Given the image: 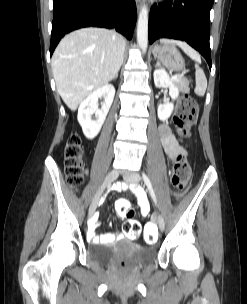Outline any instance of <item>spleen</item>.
<instances>
[{
    "instance_id": "1",
    "label": "spleen",
    "mask_w": 247,
    "mask_h": 304,
    "mask_svg": "<svg viewBox=\"0 0 247 304\" xmlns=\"http://www.w3.org/2000/svg\"><path fill=\"white\" fill-rule=\"evenodd\" d=\"M185 52L196 62L200 61V58L196 52H192V51H185ZM195 81H196L195 93L198 96H204L207 88V79L203 69H201L198 64H195Z\"/></svg>"
}]
</instances>
